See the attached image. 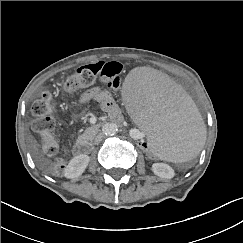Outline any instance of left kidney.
Returning a JSON list of instances; mask_svg holds the SVG:
<instances>
[{
	"instance_id": "left-kidney-1",
	"label": "left kidney",
	"mask_w": 243,
	"mask_h": 243,
	"mask_svg": "<svg viewBox=\"0 0 243 243\" xmlns=\"http://www.w3.org/2000/svg\"><path fill=\"white\" fill-rule=\"evenodd\" d=\"M152 171L155 175L165 179H171L175 176L173 168L166 163L160 165L153 164Z\"/></svg>"
}]
</instances>
